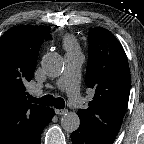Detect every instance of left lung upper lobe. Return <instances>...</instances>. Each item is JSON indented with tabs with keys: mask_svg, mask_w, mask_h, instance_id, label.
Listing matches in <instances>:
<instances>
[{
	"mask_svg": "<svg viewBox=\"0 0 144 144\" xmlns=\"http://www.w3.org/2000/svg\"><path fill=\"white\" fill-rule=\"evenodd\" d=\"M86 83L95 91L87 109H79L80 123L98 135L115 138L128 104L131 77L125 52L108 30L89 31Z\"/></svg>",
	"mask_w": 144,
	"mask_h": 144,
	"instance_id": "obj_1",
	"label": "left lung upper lobe"
}]
</instances>
